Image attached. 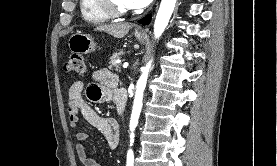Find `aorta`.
<instances>
[{"instance_id":"1","label":"aorta","mask_w":277,"mask_h":166,"mask_svg":"<svg viewBox=\"0 0 277 166\" xmlns=\"http://www.w3.org/2000/svg\"><path fill=\"white\" fill-rule=\"evenodd\" d=\"M176 0H162L154 23V37L159 39L168 25L173 13ZM151 68V61L142 69V74L137 81L133 109L130 119V145L134 142V130L137 127L138 119L142 109L143 93L146 87L148 73Z\"/></svg>"}]
</instances>
